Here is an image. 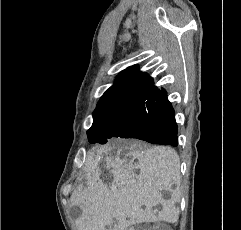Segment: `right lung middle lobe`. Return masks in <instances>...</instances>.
Instances as JSON below:
<instances>
[{
	"label": "right lung middle lobe",
	"mask_w": 241,
	"mask_h": 230,
	"mask_svg": "<svg viewBox=\"0 0 241 230\" xmlns=\"http://www.w3.org/2000/svg\"><path fill=\"white\" fill-rule=\"evenodd\" d=\"M146 105L138 111H111L97 120L87 131L90 143L105 144L111 138H135L136 130L145 123L144 113Z\"/></svg>",
	"instance_id": "right-lung-middle-lobe-1"
}]
</instances>
